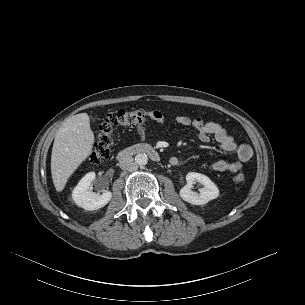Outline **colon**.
<instances>
[{"mask_svg": "<svg viewBox=\"0 0 305 305\" xmlns=\"http://www.w3.org/2000/svg\"><path fill=\"white\" fill-rule=\"evenodd\" d=\"M162 116L161 112L149 109L117 110L110 112L101 123L97 132L96 142L89 154L91 164H98L110 156L116 128L142 127L149 119ZM234 182L241 184L245 181L244 174H237Z\"/></svg>", "mask_w": 305, "mask_h": 305, "instance_id": "1", "label": "colon"}]
</instances>
